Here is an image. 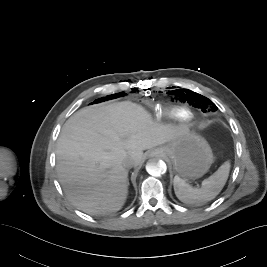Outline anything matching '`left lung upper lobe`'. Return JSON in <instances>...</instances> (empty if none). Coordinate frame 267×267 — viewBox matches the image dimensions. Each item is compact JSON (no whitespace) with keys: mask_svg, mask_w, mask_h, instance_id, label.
I'll return each mask as SVG.
<instances>
[{"mask_svg":"<svg viewBox=\"0 0 267 267\" xmlns=\"http://www.w3.org/2000/svg\"><path fill=\"white\" fill-rule=\"evenodd\" d=\"M162 98L165 102L174 106L195 105L201 107L204 111H216L217 107L208 98L192 92L189 89H180L174 86H167L162 91Z\"/></svg>","mask_w":267,"mask_h":267,"instance_id":"left-lung-upper-lobe-1","label":"left lung upper lobe"}]
</instances>
